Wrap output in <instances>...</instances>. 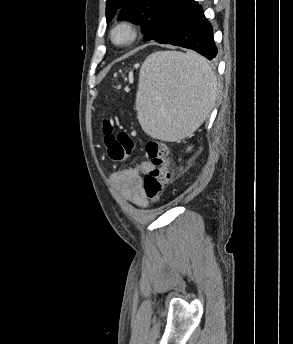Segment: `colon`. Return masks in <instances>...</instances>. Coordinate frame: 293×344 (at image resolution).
Segmentation results:
<instances>
[{
  "label": "colon",
  "mask_w": 293,
  "mask_h": 344,
  "mask_svg": "<svg viewBox=\"0 0 293 344\" xmlns=\"http://www.w3.org/2000/svg\"><path fill=\"white\" fill-rule=\"evenodd\" d=\"M104 144L109 158L114 162L125 161L134 149L133 141L126 132H116L113 124L103 121ZM146 154L153 165L142 180V190L148 200L160 199L164 187L171 179L169 148L166 143L150 140L145 146Z\"/></svg>",
  "instance_id": "5ec220e1"
}]
</instances>
